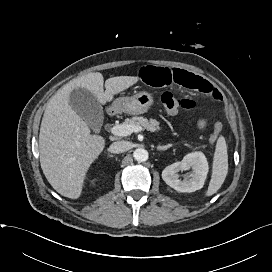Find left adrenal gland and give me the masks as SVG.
I'll list each match as a JSON object with an SVG mask.
<instances>
[{
    "label": "left adrenal gland",
    "mask_w": 272,
    "mask_h": 272,
    "mask_svg": "<svg viewBox=\"0 0 272 272\" xmlns=\"http://www.w3.org/2000/svg\"><path fill=\"white\" fill-rule=\"evenodd\" d=\"M172 145L171 144H168V145H165V146H158L157 147V150L158 151H161V150H166V149H168V148H170Z\"/></svg>",
    "instance_id": "left-adrenal-gland-1"
}]
</instances>
